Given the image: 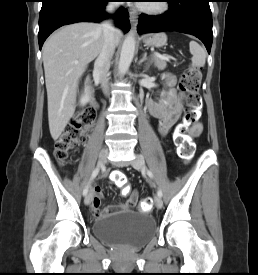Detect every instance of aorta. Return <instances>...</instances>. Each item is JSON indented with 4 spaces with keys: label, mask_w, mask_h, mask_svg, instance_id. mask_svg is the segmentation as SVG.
Returning a JSON list of instances; mask_svg holds the SVG:
<instances>
[{
    "label": "aorta",
    "mask_w": 258,
    "mask_h": 275,
    "mask_svg": "<svg viewBox=\"0 0 258 275\" xmlns=\"http://www.w3.org/2000/svg\"><path fill=\"white\" fill-rule=\"evenodd\" d=\"M135 51V36L133 32H130L125 38L119 59V74L123 75L129 69Z\"/></svg>",
    "instance_id": "1"
}]
</instances>
